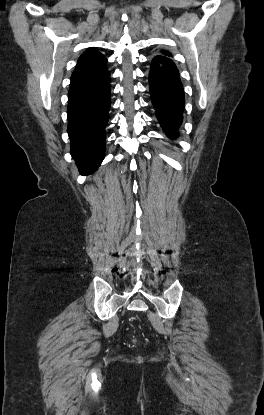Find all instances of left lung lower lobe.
Here are the masks:
<instances>
[{
  "label": "left lung lower lobe",
  "instance_id": "0a47b994",
  "mask_svg": "<svg viewBox=\"0 0 264 415\" xmlns=\"http://www.w3.org/2000/svg\"><path fill=\"white\" fill-rule=\"evenodd\" d=\"M149 86L156 116L168 137L178 136L184 109V91L174 63L167 57L153 59L149 73Z\"/></svg>",
  "mask_w": 264,
  "mask_h": 415
}]
</instances>
